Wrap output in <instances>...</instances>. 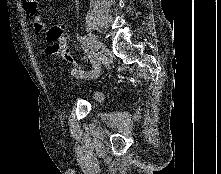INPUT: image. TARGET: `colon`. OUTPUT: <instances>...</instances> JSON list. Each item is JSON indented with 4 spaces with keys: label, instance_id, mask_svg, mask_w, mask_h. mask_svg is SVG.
Instances as JSON below:
<instances>
[{
    "label": "colon",
    "instance_id": "obj_1",
    "mask_svg": "<svg viewBox=\"0 0 221 174\" xmlns=\"http://www.w3.org/2000/svg\"><path fill=\"white\" fill-rule=\"evenodd\" d=\"M46 37L49 41L54 43L52 50L55 54L61 56L68 63L77 65V62L72 56L71 50L67 45L66 39L60 30L56 28H50L46 32Z\"/></svg>",
    "mask_w": 221,
    "mask_h": 174
}]
</instances>
